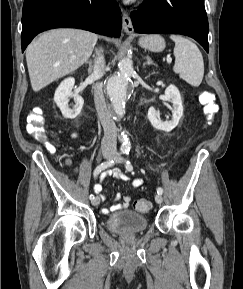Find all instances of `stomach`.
<instances>
[{"instance_id":"stomach-1","label":"stomach","mask_w":243,"mask_h":289,"mask_svg":"<svg viewBox=\"0 0 243 289\" xmlns=\"http://www.w3.org/2000/svg\"><path fill=\"white\" fill-rule=\"evenodd\" d=\"M139 44L152 52H161L165 48V41L158 34L142 36L139 39Z\"/></svg>"}]
</instances>
